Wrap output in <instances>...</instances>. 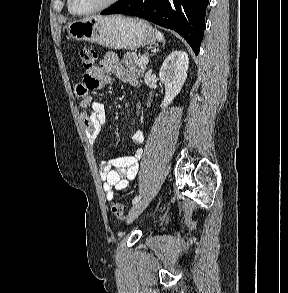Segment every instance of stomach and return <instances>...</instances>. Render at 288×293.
Returning <instances> with one entry per match:
<instances>
[{"mask_svg": "<svg viewBox=\"0 0 288 293\" xmlns=\"http://www.w3.org/2000/svg\"><path fill=\"white\" fill-rule=\"evenodd\" d=\"M68 37L76 41L98 43L109 49H137L155 42L150 25L137 18L90 16L66 26Z\"/></svg>", "mask_w": 288, "mask_h": 293, "instance_id": "0dacf381", "label": "stomach"}]
</instances>
